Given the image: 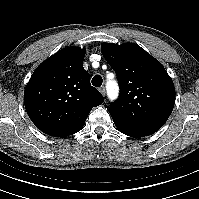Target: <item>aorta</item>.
Listing matches in <instances>:
<instances>
[{
    "mask_svg": "<svg viewBox=\"0 0 199 199\" xmlns=\"http://www.w3.org/2000/svg\"><path fill=\"white\" fill-rule=\"evenodd\" d=\"M109 99L114 100L118 97L119 87L115 81H108L106 84Z\"/></svg>",
    "mask_w": 199,
    "mask_h": 199,
    "instance_id": "obj_1",
    "label": "aorta"
}]
</instances>
